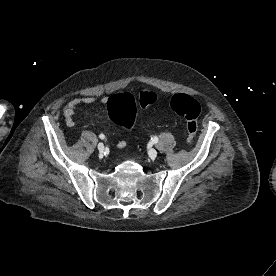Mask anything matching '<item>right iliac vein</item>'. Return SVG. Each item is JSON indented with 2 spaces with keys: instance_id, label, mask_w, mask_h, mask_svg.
I'll list each match as a JSON object with an SVG mask.
<instances>
[{
  "instance_id": "1",
  "label": "right iliac vein",
  "mask_w": 276,
  "mask_h": 276,
  "mask_svg": "<svg viewBox=\"0 0 276 276\" xmlns=\"http://www.w3.org/2000/svg\"><path fill=\"white\" fill-rule=\"evenodd\" d=\"M97 148H98L99 152H101V153H102V152L104 151V149H105L103 143H99V144L97 145Z\"/></svg>"
}]
</instances>
